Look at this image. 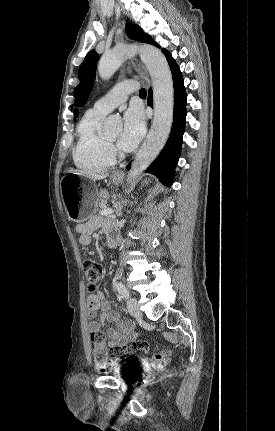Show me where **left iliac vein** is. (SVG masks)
I'll list each match as a JSON object with an SVG mask.
<instances>
[{
	"instance_id": "left-iliac-vein-1",
	"label": "left iliac vein",
	"mask_w": 275,
	"mask_h": 431,
	"mask_svg": "<svg viewBox=\"0 0 275 431\" xmlns=\"http://www.w3.org/2000/svg\"><path fill=\"white\" fill-rule=\"evenodd\" d=\"M127 309L129 313L135 317L136 319H139L142 317V312L139 309L138 301L135 298H130L127 301Z\"/></svg>"
}]
</instances>
